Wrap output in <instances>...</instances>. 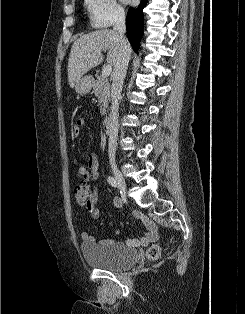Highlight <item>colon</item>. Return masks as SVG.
<instances>
[{
  "label": "colon",
  "instance_id": "colon-1",
  "mask_svg": "<svg viewBox=\"0 0 245 314\" xmlns=\"http://www.w3.org/2000/svg\"><path fill=\"white\" fill-rule=\"evenodd\" d=\"M73 194H74L76 201L80 205H87L91 200L92 191L87 184L82 183V184H78L74 187ZM159 254H160L159 246L154 245V246L149 248V250L147 252V257L150 260H155L158 258Z\"/></svg>",
  "mask_w": 245,
  "mask_h": 314
}]
</instances>
